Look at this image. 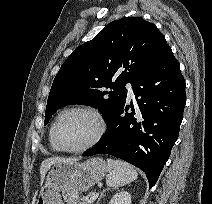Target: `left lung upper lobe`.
Here are the masks:
<instances>
[{"label":"left lung upper lobe","mask_w":212,"mask_h":204,"mask_svg":"<svg viewBox=\"0 0 212 204\" xmlns=\"http://www.w3.org/2000/svg\"><path fill=\"white\" fill-rule=\"evenodd\" d=\"M169 48L157 27L141 17L111 22L61 66L50 90L44 125L69 104L97 107L107 119L125 102V84L133 86Z\"/></svg>","instance_id":"5c2ea615"}]
</instances>
